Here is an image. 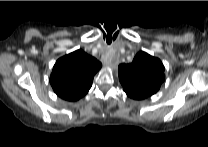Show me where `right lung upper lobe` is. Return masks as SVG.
<instances>
[{"mask_svg":"<svg viewBox=\"0 0 208 147\" xmlns=\"http://www.w3.org/2000/svg\"><path fill=\"white\" fill-rule=\"evenodd\" d=\"M102 64L83 50H76L55 63L50 83L62 99L76 101L92 86L93 78Z\"/></svg>","mask_w":208,"mask_h":147,"instance_id":"1","label":"right lung upper lobe"}]
</instances>
